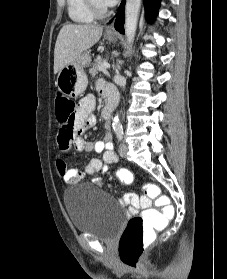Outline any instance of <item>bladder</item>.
I'll list each match as a JSON object with an SVG mask.
<instances>
[{"instance_id": "obj_1", "label": "bladder", "mask_w": 227, "mask_h": 279, "mask_svg": "<svg viewBox=\"0 0 227 279\" xmlns=\"http://www.w3.org/2000/svg\"><path fill=\"white\" fill-rule=\"evenodd\" d=\"M63 200L76 231L88 232L102 241H111L120 234L124 224L122 206L99 188L86 185L67 188Z\"/></svg>"}]
</instances>
